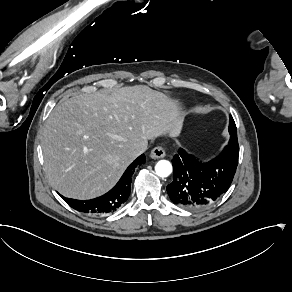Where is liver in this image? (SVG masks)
I'll return each mask as SVG.
<instances>
[{"instance_id": "6515ba94", "label": "liver", "mask_w": 292, "mask_h": 292, "mask_svg": "<svg viewBox=\"0 0 292 292\" xmlns=\"http://www.w3.org/2000/svg\"><path fill=\"white\" fill-rule=\"evenodd\" d=\"M163 93L145 86L61 100L42 131L50 183L66 197L88 199L108 191L136 158L135 148L183 120Z\"/></svg>"}]
</instances>
